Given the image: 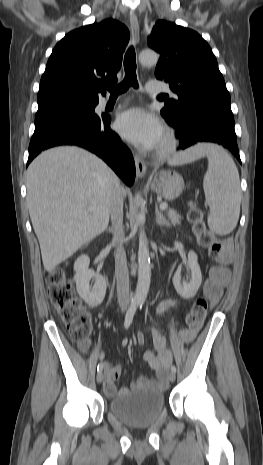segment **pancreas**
Listing matches in <instances>:
<instances>
[{
	"mask_svg": "<svg viewBox=\"0 0 263 465\" xmlns=\"http://www.w3.org/2000/svg\"><path fill=\"white\" fill-rule=\"evenodd\" d=\"M167 216L172 225H180L181 224V216L175 210H168Z\"/></svg>",
	"mask_w": 263,
	"mask_h": 465,
	"instance_id": "obj_1",
	"label": "pancreas"
}]
</instances>
